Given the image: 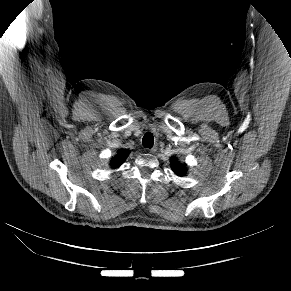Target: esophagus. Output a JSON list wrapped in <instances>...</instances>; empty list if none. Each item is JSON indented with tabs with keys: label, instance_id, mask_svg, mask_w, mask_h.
Listing matches in <instances>:
<instances>
[{
	"label": "esophagus",
	"instance_id": "esophagus-1",
	"mask_svg": "<svg viewBox=\"0 0 291 291\" xmlns=\"http://www.w3.org/2000/svg\"><path fill=\"white\" fill-rule=\"evenodd\" d=\"M156 151V148H152L149 150L150 153H154Z\"/></svg>",
	"mask_w": 291,
	"mask_h": 291
}]
</instances>
